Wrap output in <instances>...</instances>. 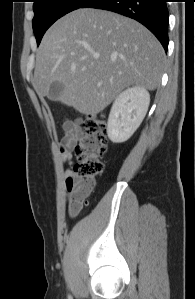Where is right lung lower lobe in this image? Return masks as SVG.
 Listing matches in <instances>:
<instances>
[{
	"label": "right lung lower lobe",
	"mask_w": 195,
	"mask_h": 299,
	"mask_svg": "<svg viewBox=\"0 0 195 299\" xmlns=\"http://www.w3.org/2000/svg\"><path fill=\"white\" fill-rule=\"evenodd\" d=\"M167 0H88L81 8L113 11L137 20L146 26L168 49Z\"/></svg>",
	"instance_id": "obj_1"
}]
</instances>
